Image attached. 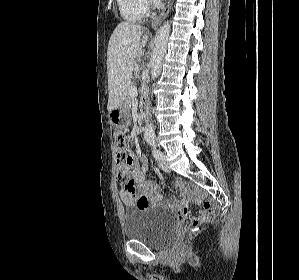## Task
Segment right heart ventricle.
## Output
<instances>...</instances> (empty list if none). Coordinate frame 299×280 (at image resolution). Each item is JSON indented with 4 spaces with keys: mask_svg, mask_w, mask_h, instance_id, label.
I'll use <instances>...</instances> for the list:
<instances>
[{
    "mask_svg": "<svg viewBox=\"0 0 299 280\" xmlns=\"http://www.w3.org/2000/svg\"><path fill=\"white\" fill-rule=\"evenodd\" d=\"M119 12L124 20L140 22L148 15V8L144 0H117Z\"/></svg>",
    "mask_w": 299,
    "mask_h": 280,
    "instance_id": "obj_1",
    "label": "right heart ventricle"
}]
</instances>
